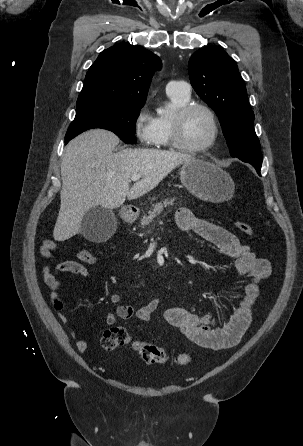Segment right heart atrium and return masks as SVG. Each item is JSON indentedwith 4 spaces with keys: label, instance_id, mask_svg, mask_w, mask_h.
<instances>
[{
    "label": "right heart atrium",
    "instance_id": "right-heart-atrium-1",
    "mask_svg": "<svg viewBox=\"0 0 303 446\" xmlns=\"http://www.w3.org/2000/svg\"><path fill=\"white\" fill-rule=\"evenodd\" d=\"M134 132L142 145L153 144L156 136L155 118L150 114L147 106H143L137 113L134 123Z\"/></svg>",
    "mask_w": 303,
    "mask_h": 446
}]
</instances>
